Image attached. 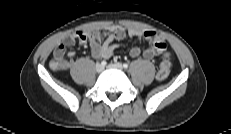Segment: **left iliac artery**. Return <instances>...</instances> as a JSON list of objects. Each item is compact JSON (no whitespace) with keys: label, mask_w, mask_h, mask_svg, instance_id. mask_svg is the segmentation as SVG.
<instances>
[{"label":"left iliac artery","mask_w":231,"mask_h":134,"mask_svg":"<svg viewBox=\"0 0 231 134\" xmlns=\"http://www.w3.org/2000/svg\"><path fill=\"white\" fill-rule=\"evenodd\" d=\"M123 67H124V68H128V64H127V63H124V64H123Z\"/></svg>","instance_id":"1"}]
</instances>
